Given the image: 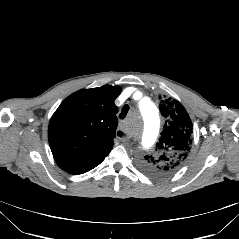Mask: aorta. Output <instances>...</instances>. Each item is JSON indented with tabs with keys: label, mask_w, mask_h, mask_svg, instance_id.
Returning <instances> with one entry per match:
<instances>
[{
	"label": "aorta",
	"mask_w": 239,
	"mask_h": 239,
	"mask_svg": "<svg viewBox=\"0 0 239 239\" xmlns=\"http://www.w3.org/2000/svg\"><path fill=\"white\" fill-rule=\"evenodd\" d=\"M143 114L142 135L140 138V149L150 152L157 142L159 114L155 104L148 98H143L138 105Z\"/></svg>",
	"instance_id": "1"
}]
</instances>
